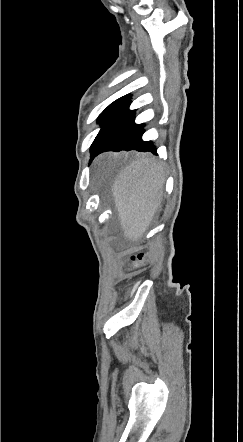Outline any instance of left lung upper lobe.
Here are the masks:
<instances>
[{"instance_id": "1", "label": "left lung upper lobe", "mask_w": 243, "mask_h": 442, "mask_svg": "<svg viewBox=\"0 0 243 442\" xmlns=\"http://www.w3.org/2000/svg\"><path fill=\"white\" fill-rule=\"evenodd\" d=\"M123 98V97H122ZM122 98L117 99L116 101H114L112 104H110L99 116L98 118V122H100L102 120V118L104 117V115L118 102L120 101Z\"/></svg>"}]
</instances>
